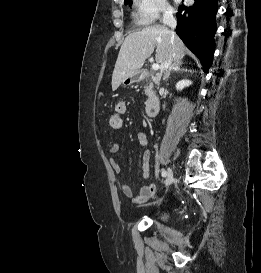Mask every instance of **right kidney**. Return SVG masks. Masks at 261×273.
Here are the masks:
<instances>
[{
  "instance_id": "right-kidney-1",
  "label": "right kidney",
  "mask_w": 261,
  "mask_h": 273,
  "mask_svg": "<svg viewBox=\"0 0 261 273\" xmlns=\"http://www.w3.org/2000/svg\"><path fill=\"white\" fill-rule=\"evenodd\" d=\"M192 82L190 80H187V79H183L181 81H179L177 84H176V89L177 90H182L183 88L191 85Z\"/></svg>"
}]
</instances>
